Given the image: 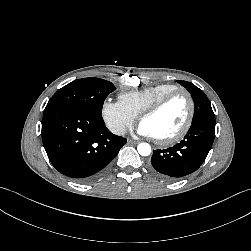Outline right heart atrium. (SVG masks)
I'll use <instances>...</instances> for the list:
<instances>
[{
    "label": "right heart atrium",
    "instance_id": "1",
    "mask_svg": "<svg viewBox=\"0 0 251 251\" xmlns=\"http://www.w3.org/2000/svg\"><path fill=\"white\" fill-rule=\"evenodd\" d=\"M101 115L110 131L119 136L124 135L135 121V117L120 101L105 100L101 106Z\"/></svg>",
    "mask_w": 251,
    "mask_h": 251
}]
</instances>
